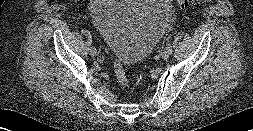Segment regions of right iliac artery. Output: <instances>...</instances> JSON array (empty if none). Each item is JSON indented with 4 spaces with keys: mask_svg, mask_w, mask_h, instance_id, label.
Returning a JSON list of instances; mask_svg holds the SVG:
<instances>
[{
    "mask_svg": "<svg viewBox=\"0 0 253 131\" xmlns=\"http://www.w3.org/2000/svg\"><path fill=\"white\" fill-rule=\"evenodd\" d=\"M90 50H91L92 52H95V51L97 50V44H96L95 42H92V43L90 44Z\"/></svg>",
    "mask_w": 253,
    "mask_h": 131,
    "instance_id": "right-iliac-artery-1",
    "label": "right iliac artery"
}]
</instances>
